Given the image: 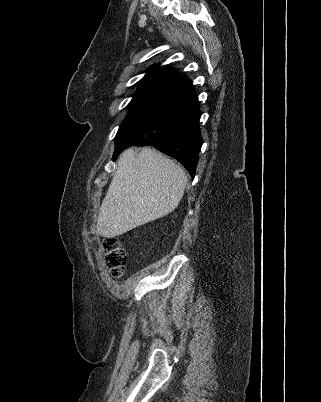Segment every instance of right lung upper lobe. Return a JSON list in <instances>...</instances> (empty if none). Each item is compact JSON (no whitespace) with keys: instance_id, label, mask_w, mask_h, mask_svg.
Here are the masks:
<instances>
[{"instance_id":"cb5924a9","label":"right lung upper lobe","mask_w":321,"mask_h":402,"mask_svg":"<svg viewBox=\"0 0 321 402\" xmlns=\"http://www.w3.org/2000/svg\"><path fill=\"white\" fill-rule=\"evenodd\" d=\"M186 79L179 75V73L173 69L153 66L148 69L146 75L142 78L139 87L149 84H161L170 87H175Z\"/></svg>"}]
</instances>
